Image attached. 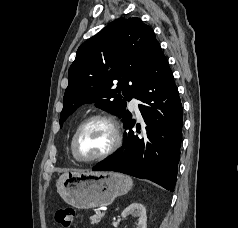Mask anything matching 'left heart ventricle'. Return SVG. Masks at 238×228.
Segmentation results:
<instances>
[{
  "label": "left heart ventricle",
  "mask_w": 238,
  "mask_h": 228,
  "mask_svg": "<svg viewBox=\"0 0 238 228\" xmlns=\"http://www.w3.org/2000/svg\"><path fill=\"white\" fill-rule=\"evenodd\" d=\"M113 133L103 121H93L79 134L76 151L79 157L88 159L103 153L112 143Z\"/></svg>",
  "instance_id": "1"
}]
</instances>
